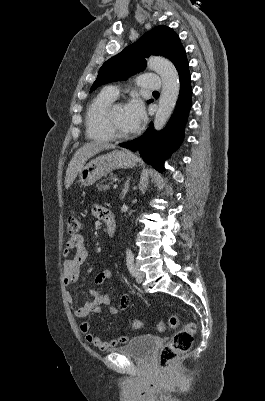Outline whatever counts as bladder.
Instances as JSON below:
<instances>
[{"label":"bladder","instance_id":"obj_1","mask_svg":"<svg viewBox=\"0 0 265 401\" xmlns=\"http://www.w3.org/2000/svg\"><path fill=\"white\" fill-rule=\"evenodd\" d=\"M155 344L154 338L150 335L132 337L131 341L124 347L111 349V352H119L123 356L146 359Z\"/></svg>","mask_w":265,"mask_h":401}]
</instances>
